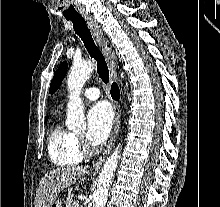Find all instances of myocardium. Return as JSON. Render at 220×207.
Listing matches in <instances>:
<instances>
[{
  "label": "myocardium",
  "mask_w": 220,
  "mask_h": 207,
  "mask_svg": "<svg viewBox=\"0 0 220 207\" xmlns=\"http://www.w3.org/2000/svg\"><path fill=\"white\" fill-rule=\"evenodd\" d=\"M79 149L82 155H89L92 153V150L85 145L81 140H78Z\"/></svg>",
  "instance_id": "f54148a6"
}]
</instances>
